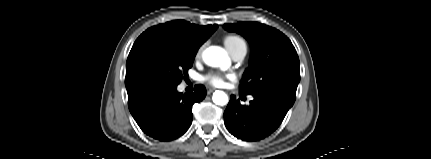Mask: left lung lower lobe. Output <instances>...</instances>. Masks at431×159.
I'll return each mask as SVG.
<instances>
[{
	"label": "left lung lower lobe",
	"mask_w": 431,
	"mask_h": 159,
	"mask_svg": "<svg viewBox=\"0 0 431 159\" xmlns=\"http://www.w3.org/2000/svg\"><path fill=\"white\" fill-rule=\"evenodd\" d=\"M249 106L241 105L235 96L224 112L228 131L244 141H259L273 133L282 123L295 99L283 94L266 91L251 94Z\"/></svg>",
	"instance_id": "left-lung-lower-lobe-1"
}]
</instances>
